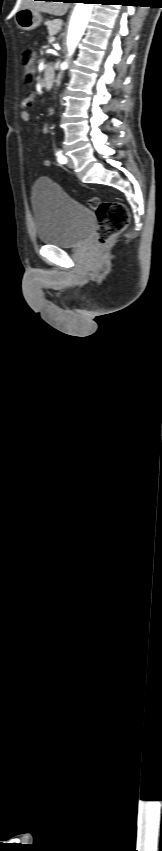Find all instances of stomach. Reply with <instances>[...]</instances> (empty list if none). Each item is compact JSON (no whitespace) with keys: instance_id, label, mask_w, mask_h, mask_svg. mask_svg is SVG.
Masks as SVG:
<instances>
[{"instance_id":"1","label":"stomach","mask_w":162,"mask_h":851,"mask_svg":"<svg viewBox=\"0 0 162 851\" xmlns=\"http://www.w3.org/2000/svg\"><path fill=\"white\" fill-rule=\"evenodd\" d=\"M15 22L19 29L31 31L42 22V16L38 11L30 8L19 9L15 14Z\"/></svg>"}]
</instances>
